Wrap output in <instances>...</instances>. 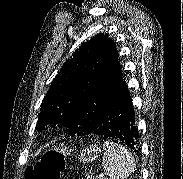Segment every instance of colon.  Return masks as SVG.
I'll list each match as a JSON object with an SVG mask.
<instances>
[{
	"instance_id": "colon-1",
	"label": "colon",
	"mask_w": 183,
	"mask_h": 179,
	"mask_svg": "<svg viewBox=\"0 0 183 179\" xmlns=\"http://www.w3.org/2000/svg\"><path fill=\"white\" fill-rule=\"evenodd\" d=\"M68 151L63 148L48 149L28 171V179H60L66 168Z\"/></svg>"
}]
</instances>
